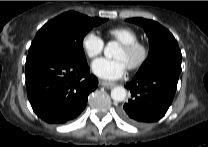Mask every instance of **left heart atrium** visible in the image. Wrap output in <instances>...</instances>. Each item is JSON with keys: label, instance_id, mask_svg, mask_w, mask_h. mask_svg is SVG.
Instances as JSON below:
<instances>
[{"label": "left heart atrium", "instance_id": "1", "mask_svg": "<svg viewBox=\"0 0 208 147\" xmlns=\"http://www.w3.org/2000/svg\"><path fill=\"white\" fill-rule=\"evenodd\" d=\"M127 68L128 65L126 62L120 58H99L92 63L93 73L105 80L121 78L125 74Z\"/></svg>", "mask_w": 208, "mask_h": 147}]
</instances>
